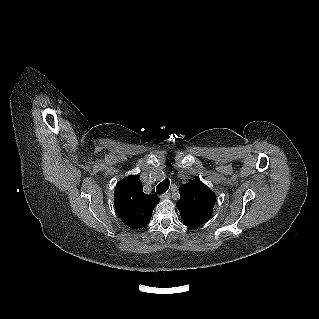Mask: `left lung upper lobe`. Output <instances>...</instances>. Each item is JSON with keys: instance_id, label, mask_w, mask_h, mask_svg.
<instances>
[{"instance_id": "left-lung-upper-lobe-1", "label": "left lung upper lobe", "mask_w": 319, "mask_h": 319, "mask_svg": "<svg viewBox=\"0 0 319 319\" xmlns=\"http://www.w3.org/2000/svg\"><path fill=\"white\" fill-rule=\"evenodd\" d=\"M215 195L200 179L180 186V200L176 206L187 227L195 228L209 220Z\"/></svg>"}]
</instances>
